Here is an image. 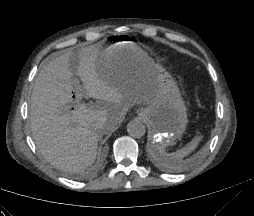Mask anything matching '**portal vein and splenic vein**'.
Returning <instances> with one entry per match:
<instances>
[{
  "label": "portal vein and splenic vein",
  "instance_id": "1",
  "mask_svg": "<svg viewBox=\"0 0 254 216\" xmlns=\"http://www.w3.org/2000/svg\"><path fill=\"white\" fill-rule=\"evenodd\" d=\"M75 90H76L75 105H76V106H79V105L81 104V99H82L83 91H84V88L81 87L79 81H76V82H75Z\"/></svg>",
  "mask_w": 254,
  "mask_h": 216
}]
</instances>
